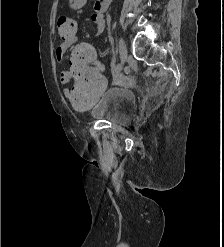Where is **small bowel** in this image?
<instances>
[{"mask_svg":"<svg viewBox=\"0 0 224 247\" xmlns=\"http://www.w3.org/2000/svg\"><path fill=\"white\" fill-rule=\"evenodd\" d=\"M86 0H70L71 7L74 9H78L85 4ZM92 23H95L97 26V35H100L105 27H106V20L105 16L102 12H99L95 9V12L90 14L87 19ZM76 42V37L71 39L63 40V42L56 48L55 51V58L58 62L62 61L65 52ZM70 75L68 71H62L60 74V82L62 84H67L69 82ZM70 90L68 88L64 89L65 97H69Z\"/></svg>","mask_w":224,"mask_h":247,"instance_id":"small-bowel-1","label":"small bowel"}]
</instances>
